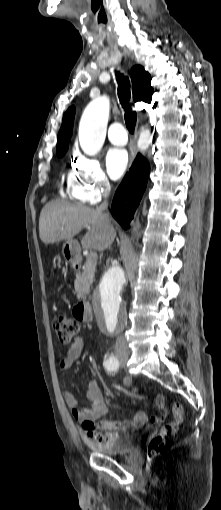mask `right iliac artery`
<instances>
[{
    "instance_id": "1",
    "label": "right iliac artery",
    "mask_w": 221,
    "mask_h": 510,
    "mask_svg": "<svg viewBox=\"0 0 221 510\" xmlns=\"http://www.w3.org/2000/svg\"><path fill=\"white\" fill-rule=\"evenodd\" d=\"M104 366L109 372H117L119 370V361L111 354L105 358Z\"/></svg>"
}]
</instances>
